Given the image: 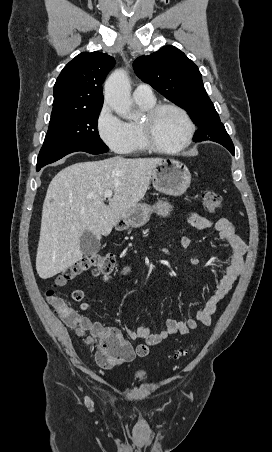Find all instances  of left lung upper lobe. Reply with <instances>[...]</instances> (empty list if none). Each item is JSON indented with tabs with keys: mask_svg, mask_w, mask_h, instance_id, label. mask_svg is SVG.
<instances>
[{
	"mask_svg": "<svg viewBox=\"0 0 272 452\" xmlns=\"http://www.w3.org/2000/svg\"><path fill=\"white\" fill-rule=\"evenodd\" d=\"M133 65L141 80L189 113L199 127L196 142L230 138L207 95L198 67L182 51L168 45L138 57Z\"/></svg>",
	"mask_w": 272,
	"mask_h": 452,
	"instance_id": "obj_1",
	"label": "left lung upper lobe"
}]
</instances>
